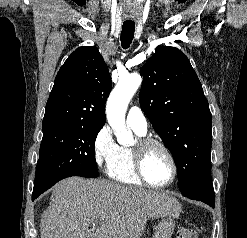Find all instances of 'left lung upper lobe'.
<instances>
[{"mask_svg": "<svg viewBox=\"0 0 247 238\" xmlns=\"http://www.w3.org/2000/svg\"><path fill=\"white\" fill-rule=\"evenodd\" d=\"M141 73L140 104L172 153L180 191L204 202L213 188L212 120L197 74L181 50L168 46H158Z\"/></svg>", "mask_w": 247, "mask_h": 238, "instance_id": "5c2ea615", "label": "left lung upper lobe"}]
</instances>
